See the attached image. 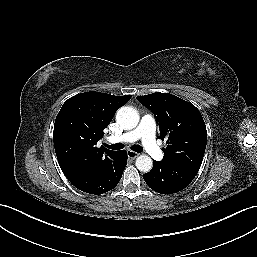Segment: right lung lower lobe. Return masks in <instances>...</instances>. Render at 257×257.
<instances>
[{"label":"right lung lower lobe","instance_id":"obj_1","mask_svg":"<svg viewBox=\"0 0 257 257\" xmlns=\"http://www.w3.org/2000/svg\"><path fill=\"white\" fill-rule=\"evenodd\" d=\"M126 164V151H117L111 159L102 163L94 172L68 180L81 191L95 195L103 194L116 187Z\"/></svg>","mask_w":257,"mask_h":257}]
</instances>
